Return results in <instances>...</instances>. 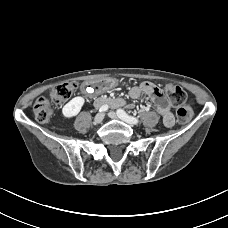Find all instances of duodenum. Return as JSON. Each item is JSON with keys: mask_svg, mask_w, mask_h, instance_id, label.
Returning a JSON list of instances; mask_svg holds the SVG:
<instances>
[{"mask_svg": "<svg viewBox=\"0 0 228 228\" xmlns=\"http://www.w3.org/2000/svg\"><path fill=\"white\" fill-rule=\"evenodd\" d=\"M102 103H109L112 107H122L125 102L123 99L120 98H115V99H111V98H98L96 100V104L100 105Z\"/></svg>", "mask_w": 228, "mask_h": 228, "instance_id": "1", "label": "duodenum"}]
</instances>
